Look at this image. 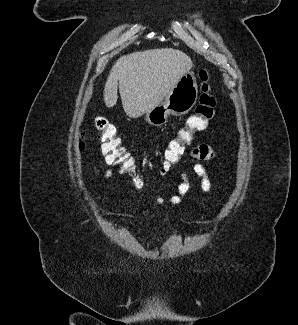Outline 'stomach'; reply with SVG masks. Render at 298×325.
Instances as JSON below:
<instances>
[{"label":"stomach","instance_id":"obj_1","mask_svg":"<svg viewBox=\"0 0 298 325\" xmlns=\"http://www.w3.org/2000/svg\"><path fill=\"white\" fill-rule=\"evenodd\" d=\"M198 98V84L193 70L180 76L174 88L168 92L161 104H156L145 112V120L154 126H161L170 114L181 116L195 106Z\"/></svg>","mask_w":298,"mask_h":325}]
</instances>
